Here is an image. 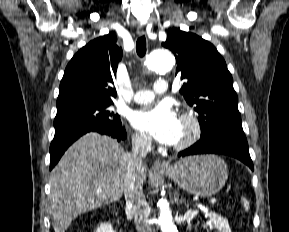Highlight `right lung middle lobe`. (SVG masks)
Masks as SVG:
<instances>
[{"label":"right lung middle lobe","mask_w":289,"mask_h":232,"mask_svg":"<svg viewBox=\"0 0 289 232\" xmlns=\"http://www.w3.org/2000/svg\"><path fill=\"white\" fill-rule=\"evenodd\" d=\"M113 103H73L57 109L55 131L72 127H106L121 125L118 114L109 110Z\"/></svg>","instance_id":"1"}]
</instances>
